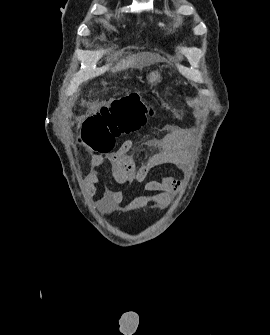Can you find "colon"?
<instances>
[{"label": "colon", "mask_w": 270, "mask_h": 335, "mask_svg": "<svg viewBox=\"0 0 270 335\" xmlns=\"http://www.w3.org/2000/svg\"><path fill=\"white\" fill-rule=\"evenodd\" d=\"M155 110L146 106L138 94L111 101L110 110H97L82 127L81 141L96 153L108 154L113 146L111 137L139 132Z\"/></svg>", "instance_id": "colon-1"}]
</instances>
